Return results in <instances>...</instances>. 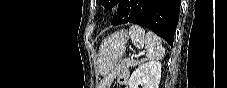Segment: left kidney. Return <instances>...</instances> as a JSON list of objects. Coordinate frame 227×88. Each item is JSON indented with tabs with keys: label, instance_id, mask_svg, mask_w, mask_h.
<instances>
[{
	"label": "left kidney",
	"instance_id": "5707ae66",
	"mask_svg": "<svg viewBox=\"0 0 227 88\" xmlns=\"http://www.w3.org/2000/svg\"><path fill=\"white\" fill-rule=\"evenodd\" d=\"M161 78V63L150 61L140 65L129 79V88H158Z\"/></svg>",
	"mask_w": 227,
	"mask_h": 88
}]
</instances>
